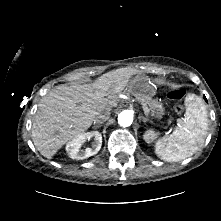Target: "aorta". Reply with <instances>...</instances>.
I'll use <instances>...</instances> for the list:
<instances>
[{
    "mask_svg": "<svg viewBox=\"0 0 221 221\" xmlns=\"http://www.w3.org/2000/svg\"><path fill=\"white\" fill-rule=\"evenodd\" d=\"M133 122V113L130 110H124L118 115V124L122 127H128Z\"/></svg>",
    "mask_w": 221,
    "mask_h": 221,
    "instance_id": "aorta-1",
    "label": "aorta"
}]
</instances>
